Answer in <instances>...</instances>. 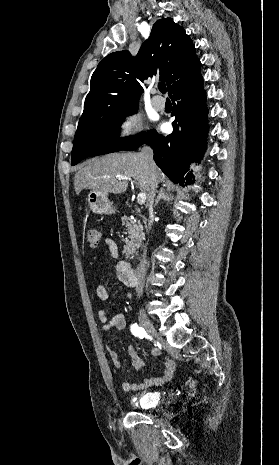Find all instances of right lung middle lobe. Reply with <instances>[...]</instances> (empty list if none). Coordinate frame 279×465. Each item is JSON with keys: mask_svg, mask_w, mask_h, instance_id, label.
Listing matches in <instances>:
<instances>
[{"mask_svg": "<svg viewBox=\"0 0 279 465\" xmlns=\"http://www.w3.org/2000/svg\"><path fill=\"white\" fill-rule=\"evenodd\" d=\"M137 108L126 111H105L93 122L79 125L75 133L71 165H76L84 158L97 156L130 147H139L145 143L155 130L138 137H126L117 140L118 130L124 118L133 114Z\"/></svg>", "mask_w": 279, "mask_h": 465, "instance_id": "right-lung-middle-lobe-1", "label": "right lung middle lobe"}]
</instances>
